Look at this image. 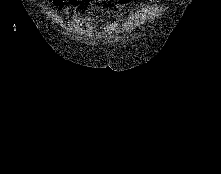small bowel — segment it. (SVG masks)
<instances>
[{
  "instance_id": "small-bowel-1",
  "label": "small bowel",
  "mask_w": 221,
  "mask_h": 174,
  "mask_svg": "<svg viewBox=\"0 0 221 174\" xmlns=\"http://www.w3.org/2000/svg\"><path fill=\"white\" fill-rule=\"evenodd\" d=\"M88 0H52L54 7L58 9L65 10L66 12L70 11L73 7L82 8L85 6ZM109 1V0H106ZM121 4H126L130 0H118Z\"/></svg>"
}]
</instances>
